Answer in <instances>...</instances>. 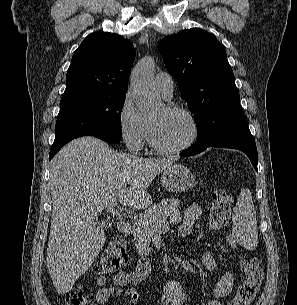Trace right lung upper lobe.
Here are the masks:
<instances>
[{
  "instance_id": "right-lung-upper-lobe-1",
  "label": "right lung upper lobe",
  "mask_w": 297,
  "mask_h": 305,
  "mask_svg": "<svg viewBox=\"0 0 297 305\" xmlns=\"http://www.w3.org/2000/svg\"><path fill=\"white\" fill-rule=\"evenodd\" d=\"M135 48L127 39L95 32L74 52L61 100L85 95H116L127 91Z\"/></svg>"
}]
</instances>
